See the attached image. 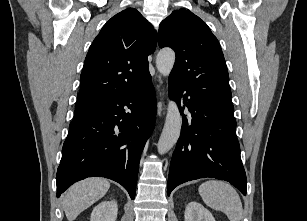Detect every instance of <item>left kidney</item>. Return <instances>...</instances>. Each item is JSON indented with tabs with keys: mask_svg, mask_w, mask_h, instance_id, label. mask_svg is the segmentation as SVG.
Here are the masks:
<instances>
[{
	"mask_svg": "<svg viewBox=\"0 0 307 221\" xmlns=\"http://www.w3.org/2000/svg\"><path fill=\"white\" fill-rule=\"evenodd\" d=\"M185 221H215L209 210L198 202H190L185 208Z\"/></svg>",
	"mask_w": 307,
	"mask_h": 221,
	"instance_id": "left-kidney-1",
	"label": "left kidney"
}]
</instances>
